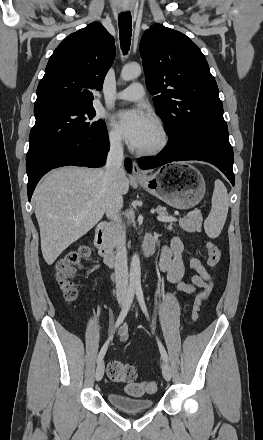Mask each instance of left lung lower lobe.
Wrapping results in <instances>:
<instances>
[{"mask_svg":"<svg viewBox=\"0 0 263 440\" xmlns=\"http://www.w3.org/2000/svg\"><path fill=\"white\" fill-rule=\"evenodd\" d=\"M200 160L220 169L234 186L233 149L229 143L228 130L206 135L202 141L188 151L181 150L171 139L168 146L157 156L138 160L141 169H152L173 161Z\"/></svg>","mask_w":263,"mask_h":440,"instance_id":"left-lung-lower-lobe-1","label":"left lung lower lobe"}]
</instances>
